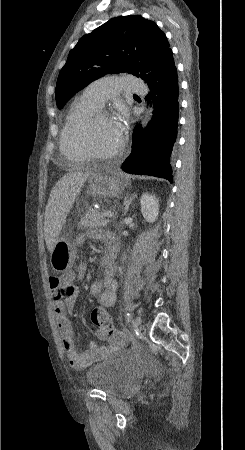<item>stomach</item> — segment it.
<instances>
[{
  "label": "stomach",
  "instance_id": "stomach-1",
  "mask_svg": "<svg viewBox=\"0 0 245 450\" xmlns=\"http://www.w3.org/2000/svg\"><path fill=\"white\" fill-rule=\"evenodd\" d=\"M124 183V179L118 173H97L89 178L86 192L94 196H117ZM75 257V248L68 234H64L58 238L51 252V267L56 272L66 271L73 266Z\"/></svg>",
  "mask_w": 245,
  "mask_h": 450
}]
</instances>
